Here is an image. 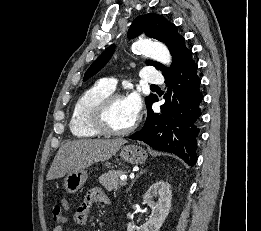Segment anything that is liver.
Wrapping results in <instances>:
<instances>
[{"mask_svg":"<svg viewBox=\"0 0 261 231\" xmlns=\"http://www.w3.org/2000/svg\"><path fill=\"white\" fill-rule=\"evenodd\" d=\"M127 140L118 138L73 140L62 145L47 174V180L85 169L95 162L106 161L114 156Z\"/></svg>","mask_w":261,"mask_h":231,"instance_id":"liver-1","label":"liver"}]
</instances>
